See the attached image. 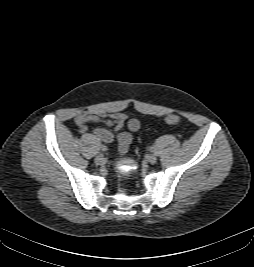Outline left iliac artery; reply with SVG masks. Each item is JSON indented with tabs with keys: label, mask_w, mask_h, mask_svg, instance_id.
<instances>
[{
	"label": "left iliac artery",
	"mask_w": 254,
	"mask_h": 267,
	"mask_svg": "<svg viewBox=\"0 0 254 267\" xmlns=\"http://www.w3.org/2000/svg\"><path fill=\"white\" fill-rule=\"evenodd\" d=\"M149 150H150L151 152H153V151H154V147L151 146V147L149 148Z\"/></svg>",
	"instance_id": "1"
}]
</instances>
